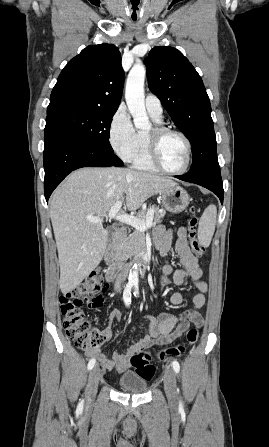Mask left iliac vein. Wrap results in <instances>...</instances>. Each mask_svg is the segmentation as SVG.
I'll list each match as a JSON object with an SVG mask.
<instances>
[{
    "instance_id": "1",
    "label": "left iliac vein",
    "mask_w": 269,
    "mask_h": 447,
    "mask_svg": "<svg viewBox=\"0 0 269 447\" xmlns=\"http://www.w3.org/2000/svg\"><path fill=\"white\" fill-rule=\"evenodd\" d=\"M164 387L168 402L173 405L177 402V388L175 381V372L172 368H168L164 375Z\"/></svg>"
}]
</instances>
